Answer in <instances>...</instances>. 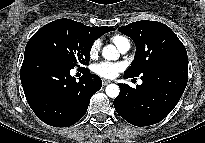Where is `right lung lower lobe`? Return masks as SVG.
Here are the masks:
<instances>
[{
  "mask_svg": "<svg viewBox=\"0 0 205 143\" xmlns=\"http://www.w3.org/2000/svg\"><path fill=\"white\" fill-rule=\"evenodd\" d=\"M71 69L45 52L25 51L20 75L23 90L31 109L50 126L68 127L79 121L102 86L101 78L88 69L76 82Z\"/></svg>",
  "mask_w": 205,
  "mask_h": 143,
  "instance_id": "98d812e1",
  "label": "right lung lower lobe"
}]
</instances>
